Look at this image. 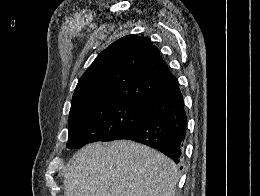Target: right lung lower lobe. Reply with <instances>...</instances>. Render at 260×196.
<instances>
[{"label":"right lung lower lobe","mask_w":260,"mask_h":196,"mask_svg":"<svg viewBox=\"0 0 260 196\" xmlns=\"http://www.w3.org/2000/svg\"><path fill=\"white\" fill-rule=\"evenodd\" d=\"M150 118L119 136L155 148L176 164L184 156L187 117L178 82L161 94L140 103Z\"/></svg>","instance_id":"98d812e1"}]
</instances>
